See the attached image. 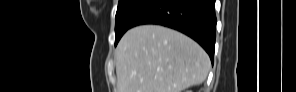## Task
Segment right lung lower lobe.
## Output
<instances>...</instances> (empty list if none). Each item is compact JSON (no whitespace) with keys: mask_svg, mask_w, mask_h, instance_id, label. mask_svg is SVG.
Here are the masks:
<instances>
[{"mask_svg":"<svg viewBox=\"0 0 296 92\" xmlns=\"http://www.w3.org/2000/svg\"><path fill=\"white\" fill-rule=\"evenodd\" d=\"M216 23L215 0H154L132 27L158 24L178 30L197 41L213 62Z\"/></svg>","mask_w":296,"mask_h":92,"instance_id":"1","label":"right lung lower lobe"}]
</instances>
